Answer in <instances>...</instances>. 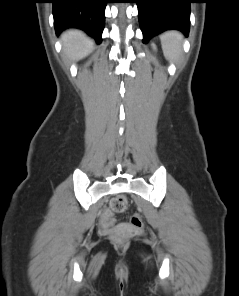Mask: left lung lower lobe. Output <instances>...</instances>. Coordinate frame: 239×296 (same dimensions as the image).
Here are the masks:
<instances>
[{"instance_id":"left-lung-lower-lobe-1","label":"left lung lower lobe","mask_w":239,"mask_h":296,"mask_svg":"<svg viewBox=\"0 0 239 296\" xmlns=\"http://www.w3.org/2000/svg\"><path fill=\"white\" fill-rule=\"evenodd\" d=\"M136 3L144 43L169 29L179 30L188 36L190 3L193 0H136Z\"/></svg>"}]
</instances>
